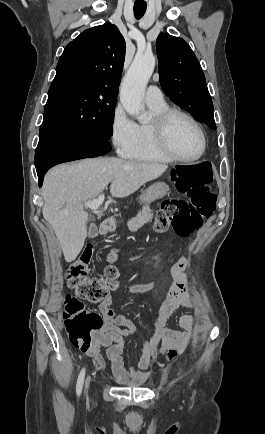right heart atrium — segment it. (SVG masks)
Here are the masks:
<instances>
[{
    "instance_id": "obj_1",
    "label": "right heart atrium",
    "mask_w": 265,
    "mask_h": 434,
    "mask_svg": "<svg viewBox=\"0 0 265 434\" xmlns=\"http://www.w3.org/2000/svg\"><path fill=\"white\" fill-rule=\"evenodd\" d=\"M126 106H117V115H110L112 146L116 148L119 159H128L132 154L135 144L136 134L133 133L137 128V121L126 115Z\"/></svg>"
}]
</instances>
